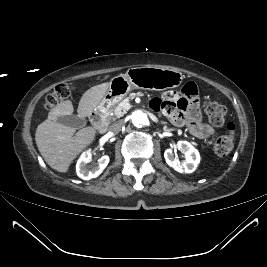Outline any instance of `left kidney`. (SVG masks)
<instances>
[{"label": "left kidney", "mask_w": 267, "mask_h": 267, "mask_svg": "<svg viewBox=\"0 0 267 267\" xmlns=\"http://www.w3.org/2000/svg\"><path fill=\"white\" fill-rule=\"evenodd\" d=\"M177 147L184 154L185 161L180 162L179 159L174 156L172 148H169L164 153L166 163L179 173L194 172L200 161L198 150L195 149L188 141H178Z\"/></svg>", "instance_id": "left-kidney-1"}]
</instances>
